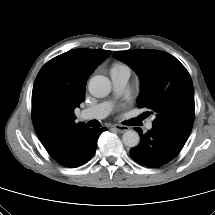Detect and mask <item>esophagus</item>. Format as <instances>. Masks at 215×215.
<instances>
[{"mask_svg": "<svg viewBox=\"0 0 215 215\" xmlns=\"http://www.w3.org/2000/svg\"><path fill=\"white\" fill-rule=\"evenodd\" d=\"M113 128L120 132V133H123V132H126L129 130V127L128 126H125V125H119V124H115L113 125Z\"/></svg>", "mask_w": 215, "mask_h": 215, "instance_id": "esophagus-1", "label": "esophagus"}]
</instances>
